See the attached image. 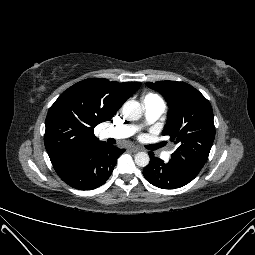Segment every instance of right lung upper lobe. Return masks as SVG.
<instances>
[{"instance_id":"1","label":"right lung upper lobe","mask_w":255,"mask_h":255,"mask_svg":"<svg viewBox=\"0 0 255 255\" xmlns=\"http://www.w3.org/2000/svg\"><path fill=\"white\" fill-rule=\"evenodd\" d=\"M140 85L89 78L64 91L49 109L45 122L44 142L52 164L102 143L94 136V127L111 120Z\"/></svg>"}]
</instances>
